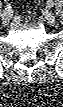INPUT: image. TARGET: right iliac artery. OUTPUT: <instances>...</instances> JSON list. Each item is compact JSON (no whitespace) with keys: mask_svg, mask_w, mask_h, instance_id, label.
<instances>
[{"mask_svg":"<svg viewBox=\"0 0 63 107\" xmlns=\"http://www.w3.org/2000/svg\"><path fill=\"white\" fill-rule=\"evenodd\" d=\"M12 13H13V12H12L11 7H10L9 5H7V6L5 7V10H4L3 15H6V16L11 17V16L13 15Z\"/></svg>","mask_w":63,"mask_h":107,"instance_id":"right-iliac-artery-1","label":"right iliac artery"}]
</instances>
